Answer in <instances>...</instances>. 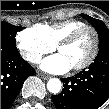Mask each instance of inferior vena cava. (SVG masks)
I'll use <instances>...</instances> for the list:
<instances>
[{
	"label": "inferior vena cava",
	"instance_id": "inferior-vena-cava-1",
	"mask_svg": "<svg viewBox=\"0 0 109 109\" xmlns=\"http://www.w3.org/2000/svg\"><path fill=\"white\" fill-rule=\"evenodd\" d=\"M40 59H41L40 57H37V58H35L34 61H35L36 63H38V62L40 61Z\"/></svg>",
	"mask_w": 109,
	"mask_h": 109
}]
</instances>
